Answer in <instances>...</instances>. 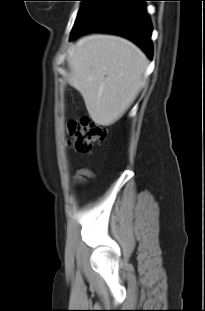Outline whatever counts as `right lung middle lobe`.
<instances>
[{
  "label": "right lung middle lobe",
  "instance_id": "1",
  "mask_svg": "<svg viewBox=\"0 0 205 311\" xmlns=\"http://www.w3.org/2000/svg\"><path fill=\"white\" fill-rule=\"evenodd\" d=\"M81 1H83V5H82V7H81V9H80V11H79V14H78V17H77V19H76V22L79 20V18L81 17V15L84 13V11H85L87 5L89 4V2H90L91 0H81ZM76 22H75V23H76Z\"/></svg>",
  "mask_w": 205,
  "mask_h": 311
}]
</instances>
